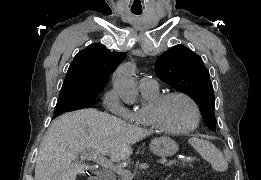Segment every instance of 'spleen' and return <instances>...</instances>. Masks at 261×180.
<instances>
[{
	"instance_id": "1",
	"label": "spleen",
	"mask_w": 261,
	"mask_h": 180,
	"mask_svg": "<svg viewBox=\"0 0 261 180\" xmlns=\"http://www.w3.org/2000/svg\"><path fill=\"white\" fill-rule=\"evenodd\" d=\"M188 142L198 154H201L206 162L211 164L213 170H216V172H225L227 170L228 162L214 144L207 142V140H200V138H190Z\"/></svg>"
}]
</instances>
